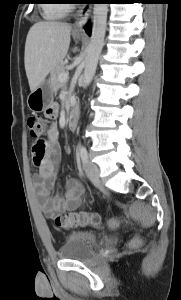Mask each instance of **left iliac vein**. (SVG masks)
Instances as JSON below:
<instances>
[{
    "label": "left iliac vein",
    "mask_w": 181,
    "mask_h": 300,
    "mask_svg": "<svg viewBox=\"0 0 181 300\" xmlns=\"http://www.w3.org/2000/svg\"><path fill=\"white\" fill-rule=\"evenodd\" d=\"M84 169L87 177L94 185L101 184L99 179L100 170L95 163L87 161L86 163H84Z\"/></svg>",
    "instance_id": "4c4485c4"
}]
</instances>
